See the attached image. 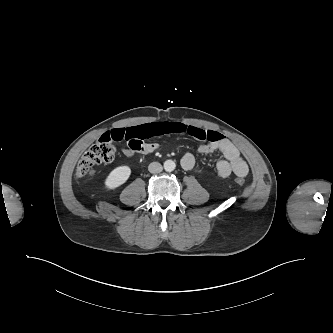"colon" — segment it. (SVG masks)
I'll list each match as a JSON object with an SVG mask.
<instances>
[{"mask_svg": "<svg viewBox=\"0 0 333 333\" xmlns=\"http://www.w3.org/2000/svg\"><path fill=\"white\" fill-rule=\"evenodd\" d=\"M115 156V148L111 140L106 137H101L96 141L81 157L76 169V176L83 179L92 176L95 167L100 164L111 162ZM238 185H244L242 178H237Z\"/></svg>", "mask_w": 333, "mask_h": 333, "instance_id": "5ec220e1", "label": "colon"}]
</instances>
